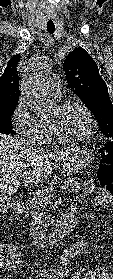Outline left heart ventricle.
<instances>
[{
    "instance_id": "obj_1",
    "label": "left heart ventricle",
    "mask_w": 113,
    "mask_h": 279,
    "mask_svg": "<svg viewBox=\"0 0 113 279\" xmlns=\"http://www.w3.org/2000/svg\"><path fill=\"white\" fill-rule=\"evenodd\" d=\"M46 120L51 122L61 135L67 137L79 136L87 127L85 114L76 105H69L63 109L54 106Z\"/></svg>"
}]
</instances>
